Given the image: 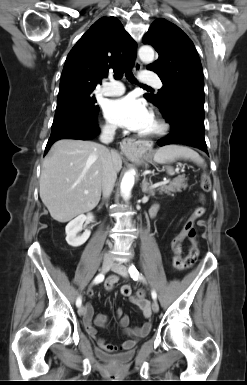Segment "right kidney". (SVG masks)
<instances>
[{
	"mask_svg": "<svg viewBox=\"0 0 247 385\" xmlns=\"http://www.w3.org/2000/svg\"><path fill=\"white\" fill-rule=\"evenodd\" d=\"M87 220H93L92 214H81L67 224L65 228L66 241L70 246L79 247L83 245L90 237V230H85L81 236H77V233L82 229L83 223Z\"/></svg>",
	"mask_w": 247,
	"mask_h": 385,
	"instance_id": "right-kidney-1",
	"label": "right kidney"
}]
</instances>
